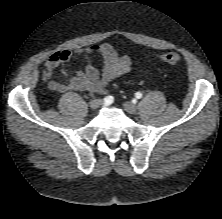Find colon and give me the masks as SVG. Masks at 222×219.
Masks as SVG:
<instances>
[{
    "label": "colon",
    "instance_id": "5ec220e1",
    "mask_svg": "<svg viewBox=\"0 0 222 219\" xmlns=\"http://www.w3.org/2000/svg\"><path fill=\"white\" fill-rule=\"evenodd\" d=\"M159 59L169 65H178L181 63L182 58L176 51H167L159 56Z\"/></svg>",
    "mask_w": 222,
    "mask_h": 219
}]
</instances>
